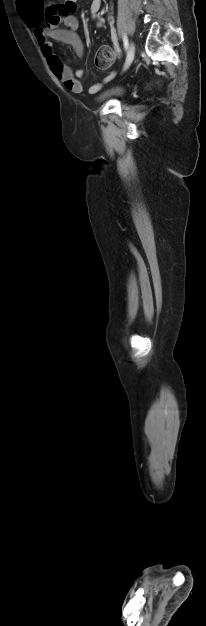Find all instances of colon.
Instances as JSON below:
<instances>
[{"label":"colon","instance_id":"obj_1","mask_svg":"<svg viewBox=\"0 0 206 626\" xmlns=\"http://www.w3.org/2000/svg\"><path fill=\"white\" fill-rule=\"evenodd\" d=\"M114 57V50L110 46L104 45L99 49L96 55V66L99 69H108L112 65Z\"/></svg>","mask_w":206,"mask_h":626}]
</instances>
